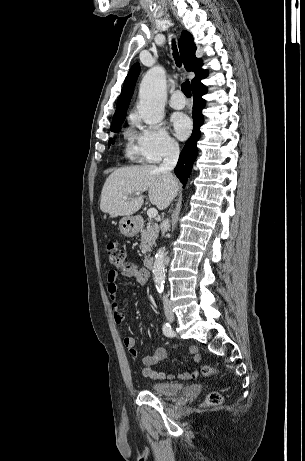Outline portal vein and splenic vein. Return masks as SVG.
Here are the masks:
<instances>
[{"instance_id":"obj_1","label":"portal vein and splenic vein","mask_w":305,"mask_h":461,"mask_svg":"<svg viewBox=\"0 0 305 461\" xmlns=\"http://www.w3.org/2000/svg\"><path fill=\"white\" fill-rule=\"evenodd\" d=\"M140 194V192L135 193L136 196H139ZM123 199L127 200L128 196H124ZM147 215L149 218H155L158 215V211L155 208H149L147 210Z\"/></svg>"}]
</instances>
